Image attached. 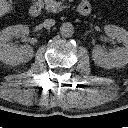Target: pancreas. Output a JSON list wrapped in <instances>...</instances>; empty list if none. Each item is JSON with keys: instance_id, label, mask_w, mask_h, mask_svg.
Instances as JSON below:
<instances>
[{"instance_id": "1", "label": "pancreas", "mask_w": 128, "mask_h": 128, "mask_svg": "<svg viewBox=\"0 0 128 128\" xmlns=\"http://www.w3.org/2000/svg\"><path fill=\"white\" fill-rule=\"evenodd\" d=\"M44 3H45V9L48 12H52V13L59 12L66 7L62 5L61 1H57V0H44Z\"/></svg>"}]
</instances>
